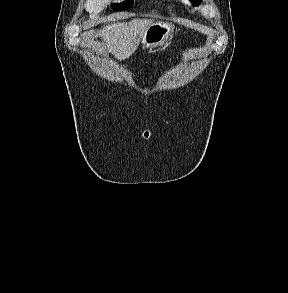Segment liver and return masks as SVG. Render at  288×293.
Listing matches in <instances>:
<instances>
[{
  "label": "liver",
  "instance_id": "6515ba94",
  "mask_svg": "<svg viewBox=\"0 0 288 293\" xmlns=\"http://www.w3.org/2000/svg\"><path fill=\"white\" fill-rule=\"evenodd\" d=\"M152 23V19H134L108 25L95 35L104 40L99 48L112 53L120 61L125 60L135 52Z\"/></svg>",
  "mask_w": 288,
  "mask_h": 293
}]
</instances>
